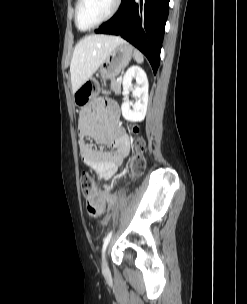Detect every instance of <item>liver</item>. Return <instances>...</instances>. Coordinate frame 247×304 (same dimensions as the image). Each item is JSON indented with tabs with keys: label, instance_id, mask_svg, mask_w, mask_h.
<instances>
[{
	"label": "liver",
	"instance_id": "1",
	"mask_svg": "<svg viewBox=\"0 0 247 304\" xmlns=\"http://www.w3.org/2000/svg\"><path fill=\"white\" fill-rule=\"evenodd\" d=\"M125 41L109 35H90L80 40L73 51L70 74L73 93L101 66L108 55Z\"/></svg>",
	"mask_w": 247,
	"mask_h": 304
}]
</instances>
